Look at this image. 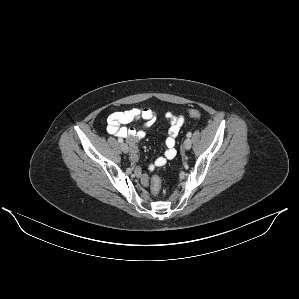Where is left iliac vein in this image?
<instances>
[{"label":"left iliac vein","mask_w":299,"mask_h":299,"mask_svg":"<svg viewBox=\"0 0 299 299\" xmlns=\"http://www.w3.org/2000/svg\"><path fill=\"white\" fill-rule=\"evenodd\" d=\"M192 146V142L189 138L185 139L184 143H183V147L186 150H189Z\"/></svg>","instance_id":"4c4485c4"}]
</instances>
